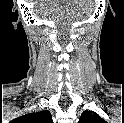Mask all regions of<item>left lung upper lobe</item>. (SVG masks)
Masks as SVG:
<instances>
[{
  "mask_svg": "<svg viewBox=\"0 0 124 123\" xmlns=\"http://www.w3.org/2000/svg\"><path fill=\"white\" fill-rule=\"evenodd\" d=\"M104 119H102L98 114L86 110L81 114L79 118V123H104Z\"/></svg>",
  "mask_w": 124,
  "mask_h": 123,
  "instance_id": "5c2ea615",
  "label": "left lung upper lobe"
}]
</instances>
